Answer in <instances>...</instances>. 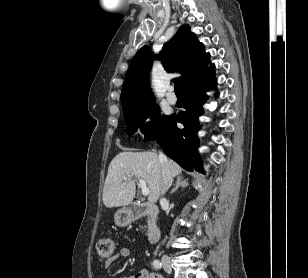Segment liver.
Returning <instances> with one entry per match:
<instances>
[{"label": "liver", "instance_id": "obj_1", "mask_svg": "<svg viewBox=\"0 0 308 278\" xmlns=\"http://www.w3.org/2000/svg\"><path fill=\"white\" fill-rule=\"evenodd\" d=\"M172 177L179 175L182 168L173 160H168ZM126 175L130 177L124 178ZM143 179L149 189L148 201L157 202L162 191V165L157 153L152 151H124L111 161L103 188V204L107 208L129 205L135 197L136 184L133 178Z\"/></svg>", "mask_w": 308, "mask_h": 278}]
</instances>
